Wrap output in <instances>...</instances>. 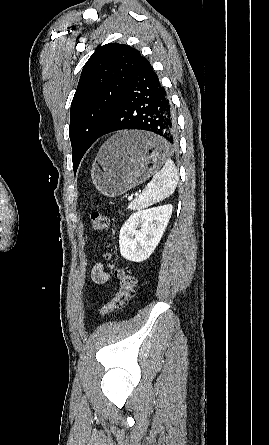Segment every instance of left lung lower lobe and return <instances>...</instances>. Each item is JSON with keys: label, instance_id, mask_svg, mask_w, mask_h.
<instances>
[{"label": "left lung lower lobe", "instance_id": "0a47b994", "mask_svg": "<svg viewBox=\"0 0 269 445\" xmlns=\"http://www.w3.org/2000/svg\"><path fill=\"white\" fill-rule=\"evenodd\" d=\"M123 129L153 132L161 136L169 146L177 142V125L170 99L144 57L130 76L99 137Z\"/></svg>", "mask_w": 269, "mask_h": 445}]
</instances>
